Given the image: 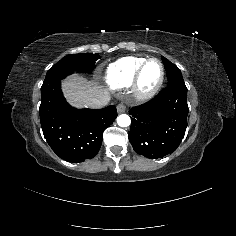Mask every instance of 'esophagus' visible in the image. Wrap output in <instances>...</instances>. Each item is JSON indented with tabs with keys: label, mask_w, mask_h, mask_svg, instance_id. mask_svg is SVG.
Here are the masks:
<instances>
[{
	"label": "esophagus",
	"mask_w": 236,
	"mask_h": 236,
	"mask_svg": "<svg viewBox=\"0 0 236 236\" xmlns=\"http://www.w3.org/2000/svg\"><path fill=\"white\" fill-rule=\"evenodd\" d=\"M125 110H126V107H125L124 104H118V105H117V111H118L119 113H124Z\"/></svg>",
	"instance_id": "34e87169"
}]
</instances>
